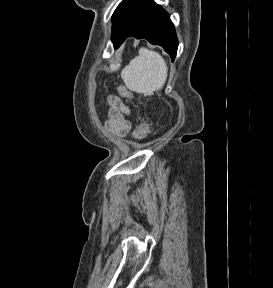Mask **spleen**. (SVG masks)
<instances>
[{
  "label": "spleen",
  "instance_id": "obj_1",
  "mask_svg": "<svg viewBox=\"0 0 273 288\" xmlns=\"http://www.w3.org/2000/svg\"><path fill=\"white\" fill-rule=\"evenodd\" d=\"M168 74L163 57L147 48H141L121 72L126 87L136 93L148 94L162 89Z\"/></svg>",
  "mask_w": 273,
  "mask_h": 288
}]
</instances>
